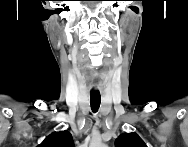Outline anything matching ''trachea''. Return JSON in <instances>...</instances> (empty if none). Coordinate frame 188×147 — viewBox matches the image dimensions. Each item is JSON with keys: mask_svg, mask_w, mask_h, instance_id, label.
<instances>
[{"mask_svg": "<svg viewBox=\"0 0 188 147\" xmlns=\"http://www.w3.org/2000/svg\"><path fill=\"white\" fill-rule=\"evenodd\" d=\"M101 103L100 94L91 93L90 94V105L93 112H97Z\"/></svg>", "mask_w": 188, "mask_h": 147, "instance_id": "1", "label": "trachea"}]
</instances>
